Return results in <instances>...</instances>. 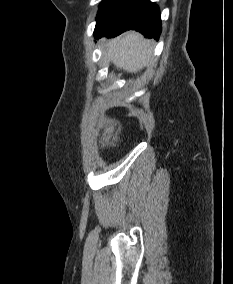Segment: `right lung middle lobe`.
<instances>
[{"label": "right lung middle lobe", "mask_w": 233, "mask_h": 284, "mask_svg": "<svg viewBox=\"0 0 233 284\" xmlns=\"http://www.w3.org/2000/svg\"><path fill=\"white\" fill-rule=\"evenodd\" d=\"M113 0H103L100 4L97 18L106 10Z\"/></svg>", "instance_id": "right-lung-middle-lobe-1"}]
</instances>
